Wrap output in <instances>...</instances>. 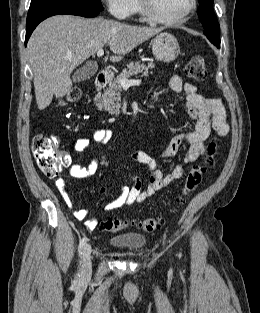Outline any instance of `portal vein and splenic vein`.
<instances>
[{"mask_svg":"<svg viewBox=\"0 0 260 313\" xmlns=\"http://www.w3.org/2000/svg\"><path fill=\"white\" fill-rule=\"evenodd\" d=\"M104 55V51L103 49H100L97 51V56L101 57ZM141 83V80H128V79H121L120 80V85L122 86V88H129L132 85H139Z\"/></svg>","mask_w":260,"mask_h":313,"instance_id":"18ae733b","label":"portal vein and splenic vein"}]
</instances>
